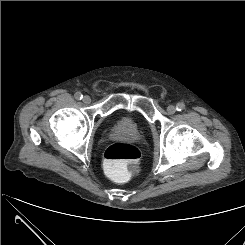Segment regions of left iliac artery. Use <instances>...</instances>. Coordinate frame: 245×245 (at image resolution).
I'll return each mask as SVG.
<instances>
[{
    "mask_svg": "<svg viewBox=\"0 0 245 245\" xmlns=\"http://www.w3.org/2000/svg\"><path fill=\"white\" fill-rule=\"evenodd\" d=\"M176 109L177 111H183L185 109V105L183 103H178Z\"/></svg>",
    "mask_w": 245,
    "mask_h": 245,
    "instance_id": "44dca946",
    "label": "left iliac artery"
}]
</instances>
